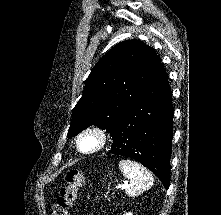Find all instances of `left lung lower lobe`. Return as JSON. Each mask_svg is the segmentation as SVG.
<instances>
[{
	"label": "left lung lower lobe",
	"instance_id": "1",
	"mask_svg": "<svg viewBox=\"0 0 221 215\" xmlns=\"http://www.w3.org/2000/svg\"><path fill=\"white\" fill-rule=\"evenodd\" d=\"M173 114L172 93L162 67L120 119L109 154L135 159L168 189Z\"/></svg>",
	"mask_w": 221,
	"mask_h": 215
}]
</instances>
